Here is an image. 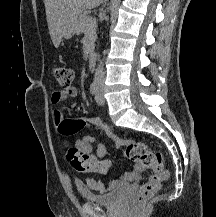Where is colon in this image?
I'll return each instance as SVG.
<instances>
[{
  "label": "colon",
  "instance_id": "obj_1",
  "mask_svg": "<svg viewBox=\"0 0 216 217\" xmlns=\"http://www.w3.org/2000/svg\"><path fill=\"white\" fill-rule=\"evenodd\" d=\"M53 75L58 84L64 88H70L73 81V72L70 68L57 66ZM92 126L100 130L118 146L124 148L125 157L128 161L139 166L142 170H152L153 174L136 192L134 203L140 205L151 198L168 179L169 173L165 167L163 155L159 151L150 149L144 142L137 141L121 135L106 121L98 118L74 119L64 122L60 128L64 135L78 132L85 126ZM66 158L71 166L80 173L101 172L107 167L104 161H94L92 157L72 146L67 149Z\"/></svg>",
  "mask_w": 216,
  "mask_h": 217
}]
</instances>
